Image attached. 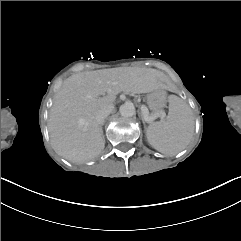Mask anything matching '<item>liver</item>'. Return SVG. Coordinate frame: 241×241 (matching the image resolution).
Segmentation results:
<instances>
[{"mask_svg": "<svg viewBox=\"0 0 241 241\" xmlns=\"http://www.w3.org/2000/svg\"><path fill=\"white\" fill-rule=\"evenodd\" d=\"M162 73L155 69H104L67 78L55 96L48 130L51 146L63 158L85 163L105 147L96 115L113 105L116 95L148 93L162 88Z\"/></svg>", "mask_w": 241, "mask_h": 241, "instance_id": "obj_1", "label": "liver"}]
</instances>
